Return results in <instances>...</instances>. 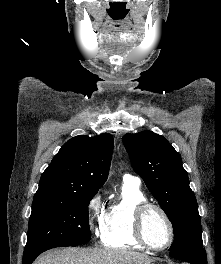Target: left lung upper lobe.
Masks as SVG:
<instances>
[{
	"mask_svg": "<svg viewBox=\"0 0 221 264\" xmlns=\"http://www.w3.org/2000/svg\"><path fill=\"white\" fill-rule=\"evenodd\" d=\"M123 144L134 171L172 222L175 238L169 250L203 248L198 205L180 154L151 131L125 134Z\"/></svg>",
	"mask_w": 221,
	"mask_h": 264,
	"instance_id": "left-lung-upper-lobe-1",
	"label": "left lung upper lobe"
}]
</instances>
